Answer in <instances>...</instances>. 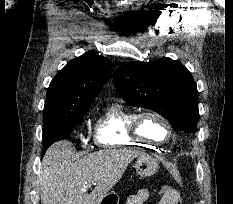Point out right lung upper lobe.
Instances as JSON below:
<instances>
[{
    "mask_svg": "<svg viewBox=\"0 0 233 204\" xmlns=\"http://www.w3.org/2000/svg\"><path fill=\"white\" fill-rule=\"evenodd\" d=\"M111 68L110 60L92 53L67 63L49 85L43 120L88 110Z\"/></svg>",
    "mask_w": 233,
    "mask_h": 204,
    "instance_id": "cb5924a9",
    "label": "right lung upper lobe"
}]
</instances>
